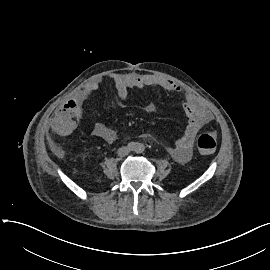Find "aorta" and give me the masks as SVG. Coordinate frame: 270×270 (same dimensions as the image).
I'll return each mask as SVG.
<instances>
[{
  "label": "aorta",
  "instance_id": "1",
  "mask_svg": "<svg viewBox=\"0 0 270 270\" xmlns=\"http://www.w3.org/2000/svg\"><path fill=\"white\" fill-rule=\"evenodd\" d=\"M138 147H140V149H138ZM145 149L144 145L141 144V143H136V149H135V152H143Z\"/></svg>",
  "mask_w": 270,
  "mask_h": 270
}]
</instances>
